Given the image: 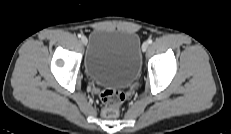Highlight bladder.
Listing matches in <instances>:
<instances>
[{
  "label": "bladder",
  "instance_id": "1",
  "mask_svg": "<svg viewBox=\"0 0 231 134\" xmlns=\"http://www.w3.org/2000/svg\"><path fill=\"white\" fill-rule=\"evenodd\" d=\"M87 43L84 69L91 81L104 87L127 88L138 79L141 40L135 32L96 29Z\"/></svg>",
  "mask_w": 231,
  "mask_h": 134
}]
</instances>
